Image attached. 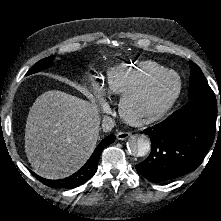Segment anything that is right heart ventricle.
Masks as SVG:
<instances>
[{
    "instance_id": "right-heart-ventricle-1",
    "label": "right heart ventricle",
    "mask_w": 221,
    "mask_h": 221,
    "mask_svg": "<svg viewBox=\"0 0 221 221\" xmlns=\"http://www.w3.org/2000/svg\"><path fill=\"white\" fill-rule=\"evenodd\" d=\"M164 71L165 67L153 61L113 66L106 72L107 91L111 94L124 95Z\"/></svg>"
}]
</instances>
